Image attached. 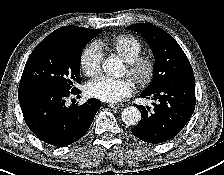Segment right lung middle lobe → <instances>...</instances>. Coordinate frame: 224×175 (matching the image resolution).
Returning <instances> with one entry per match:
<instances>
[{"mask_svg":"<svg viewBox=\"0 0 224 175\" xmlns=\"http://www.w3.org/2000/svg\"><path fill=\"white\" fill-rule=\"evenodd\" d=\"M101 29L86 30L67 41H42L29 56L19 86L45 85L74 90L80 82V60L85 44Z\"/></svg>","mask_w":224,"mask_h":175,"instance_id":"dd1d6c3e","label":"right lung middle lobe"}]
</instances>
